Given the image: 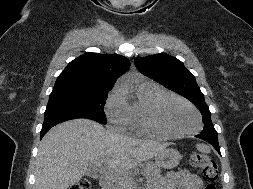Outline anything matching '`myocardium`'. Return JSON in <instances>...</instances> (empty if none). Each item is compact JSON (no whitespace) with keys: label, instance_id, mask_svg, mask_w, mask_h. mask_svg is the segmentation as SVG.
<instances>
[{"label":"myocardium","instance_id":"obj_1","mask_svg":"<svg viewBox=\"0 0 253 189\" xmlns=\"http://www.w3.org/2000/svg\"><path fill=\"white\" fill-rule=\"evenodd\" d=\"M168 98L177 100V101L185 104L195 113L196 119H197L196 128H194L190 131L176 132V131L169 129L168 127H166L163 124V122L161 121V119L159 117V108H160L162 102ZM147 125L151 130H153L154 132H156L159 135H162L165 137H170V138H182V137L193 135V134H196L197 132H199L202 127V118H201V115H200V112L198 111V109L191 102H189L188 100H186L183 97L176 95L174 93L165 92V93L159 95L158 97H156L152 101V103L150 104L148 111H147Z\"/></svg>","mask_w":253,"mask_h":189}]
</instances>
